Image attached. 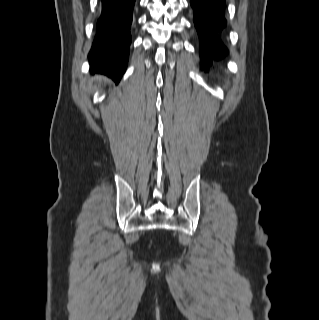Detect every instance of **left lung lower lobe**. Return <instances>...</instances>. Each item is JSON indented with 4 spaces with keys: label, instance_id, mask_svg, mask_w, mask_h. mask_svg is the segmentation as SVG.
<instances>
[{
    "label": "left lung lower lobe",
    "instance_id": "left-lung-lower-lobe-1",
    "mask_svg": "<svg viewBox=\"0 0 319 320\" xmlns=\"http://www.w3.org/2000/svg\"><path fill=\"white\" fill-rule=\"evenodd\" d=\"M194 23L202 43V62L211 65V58L219 59L227 53L218 33L226 26L225 0H191Z\"/></svg>",
    "mask_w": 319,
    "mask_h": 320
}]
</instances>
